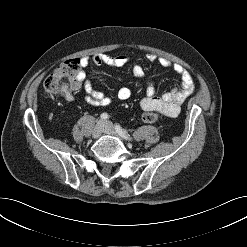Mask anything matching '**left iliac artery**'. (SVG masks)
<instances>
[{"mask_svg":"<svg viewBox=\"0 0 247 247\" xmlns=\"http://www.w3.org/2000/svg\"><path fill=\"white\" fill-rule=\"evenodd\" d=\"M116 132L123 137L124 139L131 140L130 135H128L127 131L122 129V127L118 124L115 125Z\"/></svg>","mask_w":247,"mask_h":247,"instance_id":"left-iliac-artery-1","label":"left iliac artery"}]
</instances>
